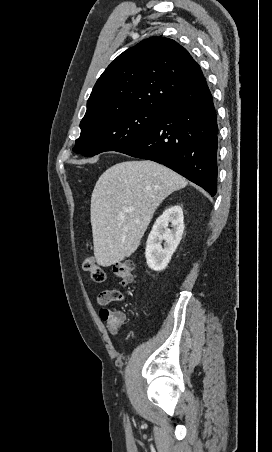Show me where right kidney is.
Returning a JSON list of instances; mask_svg holds the SVG:
<instances>
[{"label":"right kidney","mask_w":272,"mask_h":452,"mask_svg":"<svg viewBox=\"0 0 272 452\" xmlns=\"http://www.w3.org/2000/svg\"><path fill=\"white\" fill-rule=\"evenodd\" d=\"M183 210L175 205L163 212L153 225L146 242L147 265L154 271H162L180 243L184 231ZM172 223V229L168 224ZM165 241L164 248L162 241Z\"/></svg>","instance_id":"1"}]
</instances>
